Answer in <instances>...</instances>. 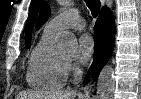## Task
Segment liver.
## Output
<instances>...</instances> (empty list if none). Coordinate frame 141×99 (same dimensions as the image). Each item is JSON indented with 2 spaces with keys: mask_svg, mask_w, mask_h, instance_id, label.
<instances>
[{
  "mask_svg": "<svg viewBox=\"0 0 141 99\" xmlns=\"http://www.w3.org/2000/svg\"><path fill=\"white\" fill-rule=\"evenodd\" d=\"M76 91L73 90H65V91H57V92H21L18 94L16 99H75Z\"/></svg>",
  "mask_w": 141,
  "mask_h": 99,
  "instance_id": "1",
  "label": "liver"
}]
</instances>
